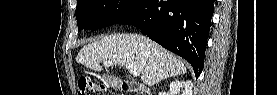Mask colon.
Returning <instances> with one entry per match:
<instances>
[{
	"instance_id": "1",
	"label": "colon",
	"mask_w": 277,
	"mask_h": 95,
	"mask_svg": "<svg viewBox=\"0 0 277 95\" xmlns=\"http://www.w3.org/2000/svg\"><path fill=\"white\" fill-rule=\"evenodd\" d=\"M105 91V85L94 83L87 77H82L79 80V93L82 95H103L105 94Z\"/></svg>"
}]
</instances>
